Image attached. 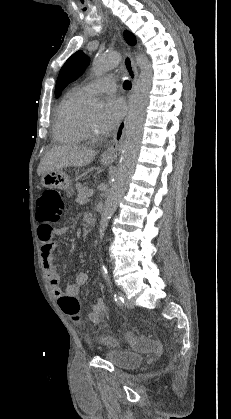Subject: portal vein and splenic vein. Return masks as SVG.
I'll list each match as a JSON object with an SVG mask.
<instances>
[{"instance_id":"obj_1","label":"portal vein and splenic vein","mask_w":231,"mask_h":419,"mask_svg":"<svg viewBox=\"0 0 231 419\" xmlns=\"http://www.w3.org/2000/svg\"><path fill=\"white\" fill-rule=\"evenodd\" d=\"M93 194H94V190H93V189H89V190L87 191V196H88V197H91Z\"/></svg>"}]
</instances>
